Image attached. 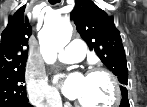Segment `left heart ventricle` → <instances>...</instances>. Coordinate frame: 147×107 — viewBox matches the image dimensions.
Returning a JSON list of instances; mask_svg holds the SVG:
<instances>
[{
	"instance_id": "1",
	"label": "left heart ventricle",
	"mask_w": 147,
	"mask_h": 107,
	"mask_svg": "<svg viewBox=\"0 0 147 107\" xmlns=\"http://www.w3.org/2000/svg\"><path fill=\"white\" fill-rule=\"evenodd\" d=\"M113 97L112 86L103 75L85 77L81 94L77 101L91 107L104 106L111 102Z\"/></svg>"
}]
</instances>
